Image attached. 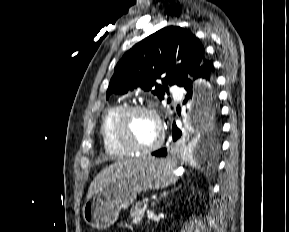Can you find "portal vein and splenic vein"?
<instances>
[{"label":"portal vein and splenic vein","mask_w":289,"mask_h":232,"mask_svg":"<svg viewBox=\"0 0 289 232\" xmlns=\"http://www.w3.org/2000/svg\"><path fill=\"white\" fill-rule=\"evenodd\" d=\"M148 201H149L148 198H144V199H143V202H144V203H148Z\"/></svg>","instance_id":"obj_1"}]
</instances>
